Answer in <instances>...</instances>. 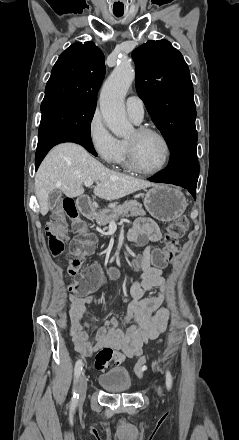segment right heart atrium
I'll return each mask as SVG.
<instances>
[{
    "label": "right heart atrium",
    "instance_id": "obj_1",
    "mask_svg": "<svg viewBox=\"0 0 239 440\" xmlns=\"http://www.w3.org/2000/svg\"><path fill=\"white\" fill-rule=\"evenodd\" d=\"M87 134L92 148L107 165L119 164L124 151L123 141L111 134L99 111L91 116Z\"/></svg>",
    "mask_w": 239,
    "mask_h": 440
}]
</instances>
